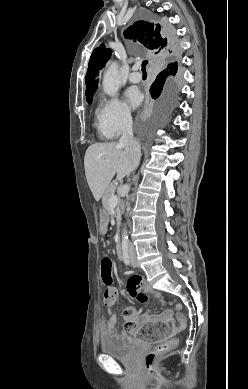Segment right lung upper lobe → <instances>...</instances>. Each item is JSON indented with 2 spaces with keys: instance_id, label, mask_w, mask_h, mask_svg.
I'll return each mask as SVG.
<instances>
[{
  "instance_id": "1",
  "label": "right lung upper lobe",
  "mask_w": 248,
  "mask_h": 389,
  "mask_svg": "<svg viewBox=\"0 0 248 389\" xmlns=\"http://www.w3.org/2000/svg\"><path fill=\"white\" fill-rule=\"evenodd\" d=\"M124 37L140 42L150 53L160 60L164 70L161 71L154 84L161 81V79L175 66H177V59L180 55L179 46L173 48L167 38L164 26L146 22L137 21L124 31ZM111 55L110 49H105L104 44L94 49L90 57L88 70L86 74L85 83L86 98L92 96L97 88L98 80H95L98 75V70L102 69Z\"/></svg>"
}]
</instances>
